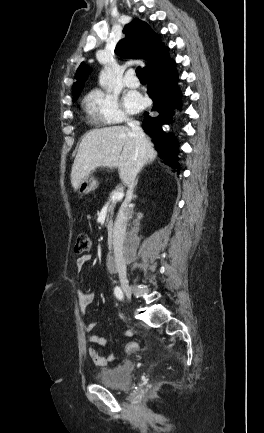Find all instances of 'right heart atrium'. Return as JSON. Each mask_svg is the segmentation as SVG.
Listing matches in <instances>:
<instances>
[{"mask_svg":"<svg viewBox=\"0 0 264 433\" xmlns=\"http://www.w3.org/2000/svg\"><path fill=\"white\" fill-rule=\"evenodd\" d=\"M86 106L92 118L98 123L117 124L129 121L128 114L113 93L93 90L87 96Z\"/></svg>","mask_w":264,"mask_h":433,"instance_id":"right-heart-atrium-1","label":"right heart atrium"}]
</instances>
